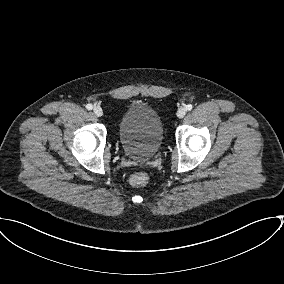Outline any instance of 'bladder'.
Returning <instances> with one entry per match:
<instances>
[{
    "mask_svg": "<svg viewBox=\"0 0 284 284\" xmlns=\"http://www.w3.org/2000/svg\"><path fill=\"white\" fill-rule=\"evenodd\" d=\"M163 134L159 113L142 103L131 104L118 125L119 140L124 152L136 160L153 157L162 144Z\"/></svg>",
    "mask_w": 284,
    "mask_h": 284,
    "instance_id": "31cf9c89",
    "label": "bladder"
}]
</instances>
